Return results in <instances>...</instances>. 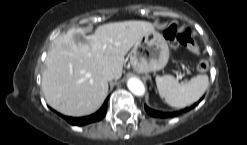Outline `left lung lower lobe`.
<instances>
[{
    "label": "left lung lower lobe",
    "mask_w": 247,
    "mask_h": 145,
    "mask_svg": "<svg viewBox=\"0 0 247 145\" xmlns=\"http://www.w3.org/2000/svg\"><path fill=\"white\" fill-rule=\"evenodd\" d=\"M202 100V98L199 100V102ZM199 102L195 103L193 106L189 107V108H186V110H189L193 107H195ZM145 110L147 111V113L153 117H170V116H176L178 115V112H173V113H163V112H159V111H155V110H152L150 109L149 107H147L145 105Z\"/></svg>",
    "instance_id": "left-lung-lower-lobe-1"
}]
</instances>
